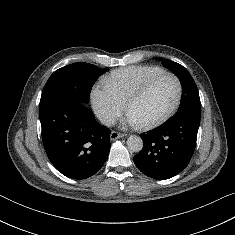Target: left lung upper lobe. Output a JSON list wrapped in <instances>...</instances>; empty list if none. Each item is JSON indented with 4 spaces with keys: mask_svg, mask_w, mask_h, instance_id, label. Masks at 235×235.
I'll list each match as a JSON object with an SVG mask.
<instances>
[{
    "mask_svg": "<svg viewBox=\"0 0 235 235\" xmlns=\"http://www.w3.org/2000/svg\"><path fill=\"white\" fill-rule=\"evenodd\" d=\"M163 64L179 78L182 84V102L175 116L185 113H196L201 115L199 92L188 70L182 65L168 59L163 60Z\"/></svg>",
    "mask_w": 235,
    "mask_h": 235,
    "instance_id": "5c2ea615",
    "label": "left lung upper lobe"
}]
</instances>
